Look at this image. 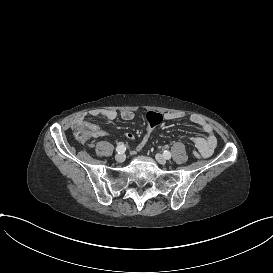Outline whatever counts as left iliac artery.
Returning <instances> with one entry per match:
<instances>
[{"label":"left iliac artery","instance_id":"44dca946","mask_svg":"<svg viewBox=\"0 0 273 273\" xmlns=\"http://www.w3.org/2000/svg\"><path fill=\"white\" fill-rule=\"evenodd\" d=\"M163 155H164V157L166 159H170L171 158V153L169 151H164Z\"/></svg>","mask_w":273,"mask_h":273}]
</instances>
